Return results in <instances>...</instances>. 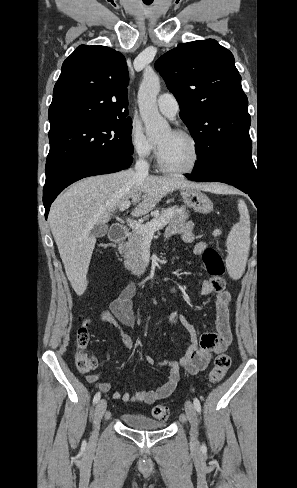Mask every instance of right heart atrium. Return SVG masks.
Listing matches in <instances>:
<instances>
[{
  "label": "right heart atrium",
  "mask_w": 297,
  "mask_h": 488,
  "mask_svg": "<svg viewBox=\"0 0 297 488\" xmlns=\"http://www.w3.org/2000/svg\"><path fill=\"white\" fill-rule=\"evenodd\" d=\"M129 144L133 153L142 160L150 159L156 151L155 144L147 137L142 124L137 120L131 123Z\"/></svg>",
  "instance_id": "right-heart-atrium-1"
}]
</instances>
